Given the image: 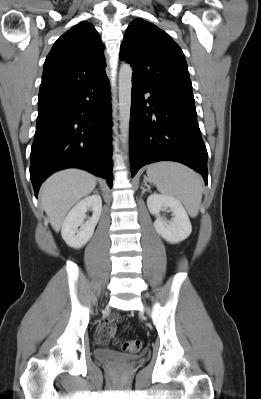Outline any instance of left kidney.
Wrapping results in <instances>:
<instances>
[{
  "label": "left kidney",
  "instance_id": "5707ae66",
  "mask_svg": "<svg viewBox=\"0 0 261 399\" xmlns=\"http://www.w3.org/2000/svg\"><path fill=\"white\" fill-rule=\"evenodd\" d=\"M147 206L150 213L157 216L154 221V228L165 241L176 244L189 237L192 226L185 208L178 199L166 195L152 194L147 198ZM168 208L173 215L171 221L160 216V212Z\"/></svg>",
  "mask_w": 261,
  "mask_h": 399
}]
</instances>
